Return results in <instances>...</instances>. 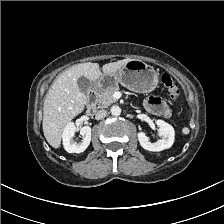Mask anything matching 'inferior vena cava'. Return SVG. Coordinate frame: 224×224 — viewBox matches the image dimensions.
I'll return each instance as SVG.
<instances>
[{
	"label": "inferior vena cava",
	"mask_w": 224,
	"mask_h": 224,
	"mask_svg": "<svg viewBox=\"0 0 224 224\" xmlns=\"http://www.w3.org/2000/svg\"><path fill=\"white\" fill-rule=\"evenodd\" d=\"M107 115V111L104 109L98 110L96 115H95V119L96 120H101L104 119Z\"/></svg>",
	"instance_id": "obj_1"
}]
</instances>
